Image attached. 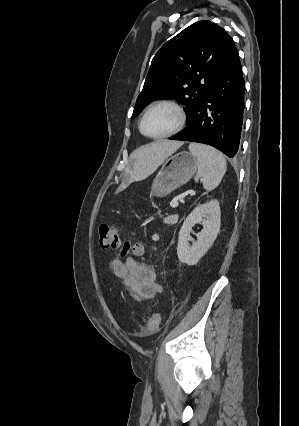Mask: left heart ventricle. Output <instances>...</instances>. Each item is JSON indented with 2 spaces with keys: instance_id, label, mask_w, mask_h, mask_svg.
Here are the masks:
<instances>
[{
  "instance_id": "obj_1",
  "label": "left heart ventricle",
  "mask_w": 299,
  "mask_h": 426,
  "mask_svg": "<svg viewBox=\"0 0 299 426\" xmlns=\"http://www.w3.org/2000/svg\"><path fill=\"white\" fill-rule=\"evenodd\" d=\"M178 114L170 106H158L153 108L146 116L143 128L151 136L165 134L176 127Z\"/></svg>"
}]
</instances>
